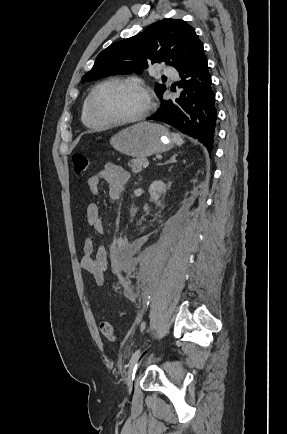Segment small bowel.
Returning a JSON list of instances; mask_svg holds the SVG:
<instances>
[{"label": "small bowel", "mask_w": 287, "mask_h": 434, "mask_svg": "<svg viewBox=\"0 0 287 434\" xmlns=\"http://www.w3.org/2000/svg\"><path fill=\"white\" fill-rule=\"evenodd\" d=\"M129 178V172L122 166L108 163L88 178L87 185L93 194L98 195L100 185L104 182L108 187L109 198L115 201L121 197ZM85 218L96 234L106 233V226L100 217L98 203L92 202L86 206ZM80 268L87 272L97 285L104 284L108 269V255L102 246L96 245L92 236L87 237L83 243Z\"/></svg>", "instance_id": "obj_1"}]
</instances>
